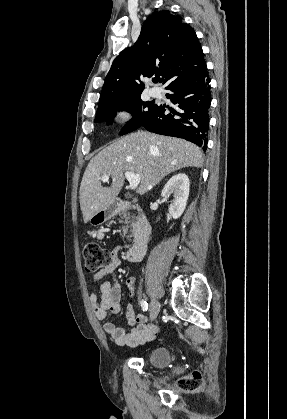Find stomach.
I'll return each instance as SVG.
<instances>
[{
  "instance_id": "1",
  "label": "stomach",
  "mask_w": 287,
  "mask_h": 419,
  "mask_svg": "<svg viewBox=\"0 0 287 419\" xmlns=\"http://www.w3.org/2000/svg\"><path fill=\"white\" fill-rule=\"evenodd\" d=\"M115 215V208L110 203L108 206L103 208L102 210L95 213L89 220L90 224L96 226L101 225L107 221H109L111 218H113Z\"/></svg>"
}]
</instances>
